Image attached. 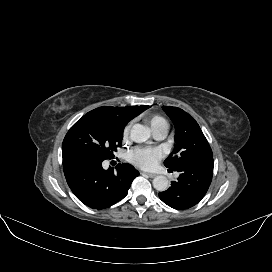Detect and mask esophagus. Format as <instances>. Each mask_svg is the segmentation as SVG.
I'll return each instance as SVG.
<instances>
[{
  "instance_id": "34e87169",
  "label": "esophagus",
  "mask_w": 272,
  "mask_h": 272,
  "mask_svg": "<svg viewBox=\"0 0 272 272\" xmlns=\"http://www.w3.org/2000/svg\"><path fill=\"white\" fill-rule=\"evenodd\" d=\"M143 174L150 178H154L156 176L155 174H152V173H143Z\"/></svg>"
}]
</instances>
